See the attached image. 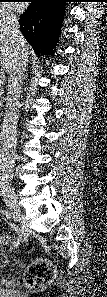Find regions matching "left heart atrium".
Returning <instances> with one entry per match:
<instances>
[{"mask_svg":"<svg viewBox=\"0 0 107 297\" xmlns=\"http://www.w3.org/2000/svg\"><path fill=\"white\" fill-rule=\"evenodd\" d=\"M12 6L17 11H22L24 8L23 4H20V3H14V4H12Z\"/></svg>","mask_w":107,"mask_h":297,"instance_id":"left-heart-atrium-1","label":"left heart atrium"}]
</instances>
